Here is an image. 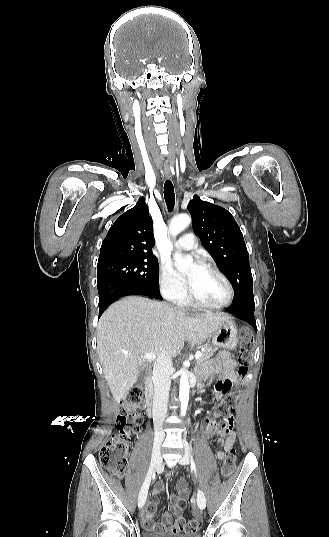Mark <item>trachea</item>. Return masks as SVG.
I'll return each instance as SVG.
<instances>
[{"label":"trachea","instance_id":"obj_1","mask_svg":"<svg viewBox=\"0 0 329 537\" xmlns=\"http://www.w3.org/2000/svg\"><path fill=\"white\" fill-rule=\"evenodd\" d=\"M164 198L169 211H172L175 204L174 187L170 180H166L164 184Z\"/></svg>","mask_w":329,"mask_h":537}]
</instances>
